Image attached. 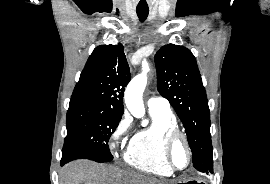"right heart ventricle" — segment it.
I'll return each mask as SVG.
<instances>
[{"label": "right heart ventricle", "instance_id": "obj_1", "mask_svg": "<svg viewBox=\"0 0 270 184\" xmlns=\"http://www.w3.org/2000/svg\"><path fill=\"white\" fill-rule=\"evenodd\" d=\"M152 123L139 130L131 139L125 162L140 171L157 176H170L173 171L163 158V140L167 130L178 127L171 110H150Z\"/></svg>", "mask_w": 270, "mask_h": 184}]
</instances>
